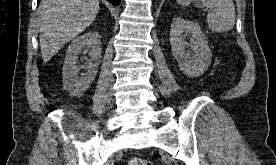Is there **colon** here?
Returning a JSON list of instances; mask_svg holds the SVG:
<instances>
[{
	"instance_id": "5ec220e1",
	"label": "colon",
	"mask_w": 276,
	"mask_h": 165,
	"mask_svg": "<svg viewBox=\"0 0 276 165\" xmlns=\"http://www.w3.org/2000/svg\"><path fill=\"white\" fill-rule=\"evenodd\" d=\"M129 165H152V163L148 160L136 157L130 161Z\"/></svg>"
}]
</instances>
